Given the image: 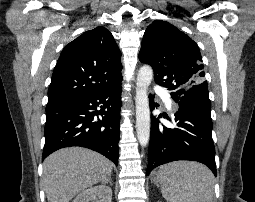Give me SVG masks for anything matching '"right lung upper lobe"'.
Segmentation results:
<instances>
[{
    "instance_id": "cb5924a9",
    "label": "right lung upper lobe",
    "mask_w": 255,
    "mask_h": 202,
    "mask_svg": "<svg viewBox=\"0 0 255 202\" xmlns=\"http://www.w3.org/2000/svg\"><path fill=\"white\" fill-rule=\"evenodd\" d=\"M121 53L104 27L84 32L62 51L55 66L48 103L110 89L122 80Z\"/></svg>"
}]
</instances>
